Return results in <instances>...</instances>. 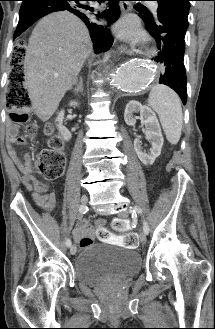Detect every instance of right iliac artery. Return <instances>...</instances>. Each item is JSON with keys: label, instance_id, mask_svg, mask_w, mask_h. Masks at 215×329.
I'll return each instance as SVG.
<instances>
[{"label": "right iliac artery", "instance_id": "82829eb1", "mask_svg": "<svg viewBox=\"0 0 215 329\" xmlns=\"http://www.w3.org/2000/svg\"><path fill=\"white\" fill-rule=\"evenodd\" d=\"M86 212H87V207H85V206H80V208H79V213H80L81 215H83V214H85ZM71 244H72L71 240H70V239H67V240H66V246H67V247H70Z\"/></svg>", "mask_w": 215, "mask_h": 329}]
</instances>
